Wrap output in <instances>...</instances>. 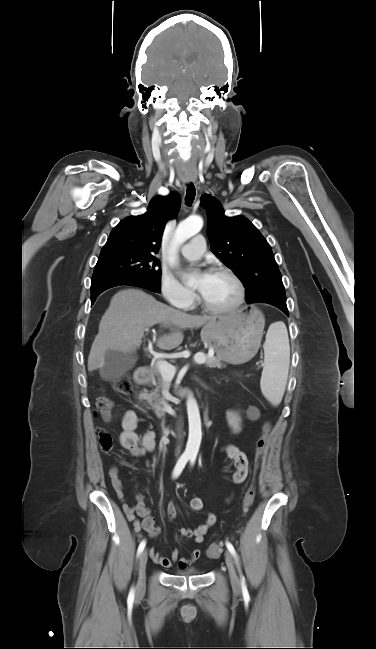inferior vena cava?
Listing matches in <instances>:
<instances>
[{"mask_svg":"<svg viewBox=\"0 0 376 649\" xmlns=\"http://www.w3.org/2000/svg\"><path fill=\"white\" fill-rule=\"evenodd\" d=\"M177 452H178V453L180 452V447L178 448Z\"/></svg>","mask_w":376,"mask_h":649,"instance_id":"1","label":"inferior vena cava"}]
</instances>
